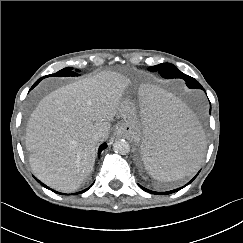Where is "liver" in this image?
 I'll use <instances>...</instances> for the list:
<instances>
[{
	"label": "liver",
	"instance_id": "obj_1",
	"mask_svg": "<svg viewBox=\"0 0 243 243\" xmlns=\"http://www.w3.org/2000/svg\"><path fill=\"white\" fill-rule=\"evenodd\" d=\"M130 82L104 71L58 88L32 112L25 145L36 177L61 192H74L91 174L96 132L107 138Z\"/></svg>",
	"mask_w": 243,
	"mask_h": 243
}]
</instances>
